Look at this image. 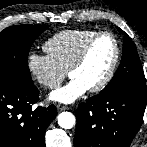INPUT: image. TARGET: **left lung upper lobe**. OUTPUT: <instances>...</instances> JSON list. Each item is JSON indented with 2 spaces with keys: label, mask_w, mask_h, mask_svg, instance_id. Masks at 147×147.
Wrapping results in <instances>:
<instances>
[{
  "label": "left lung upper lobe",
  "mask_w": 147,
  "mask_h": 147,
  "mask_svg": "<svg viewBox=\"0 0 147 147\" xmlns=\"http://www.w3.org/2000/svg\"><path fill=\"white\" fill-rule=\"evenodd\" d=\"M117 29L124 35L122 60L112 80L99 94H109L124 89L146 92V80L135 44L124 31Z\"/></svg>",
  "instance_id": "5c2ea615"
}]
</instances>
